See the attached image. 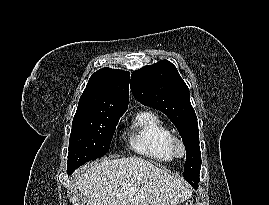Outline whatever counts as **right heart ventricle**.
<instances>
[{
  "label": "right heart ventricle",
  "instance_id": "obj_1",
  "mask_svg": "<svg viewBox=\"0 0 269 205\" xmlns=\"http://www.w3.org/2000/svg\"><path fill=\"white\" fill-rule=\"evenodd\" d=\"M172 130L152 111L139 112L130 126L128 143L138 155L161 163L171 162Z\"/></svg>",
  "mask_w": 269,
  "mask_h": 205
}]
</instances>
